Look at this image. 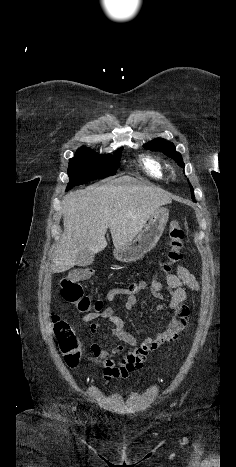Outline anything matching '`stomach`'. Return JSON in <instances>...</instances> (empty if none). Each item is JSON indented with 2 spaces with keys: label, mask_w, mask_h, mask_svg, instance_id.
I'll return each instance as SVG.
<instances>
[{
  "label": "stomach",
  "mask_w": 236,
  "mask_h": 467,
  "mask_svg": "<svg viewBox=\"0 0 236 467\" xmlns=\"http://www.w3.org/2000/svg\"><path fill=\"white\" fill-rule=\"evenodd\" d=\"M169 218V210L164 207L156 209L149 223L131 242L115 247L114 257L121 262H133L151 251L159 241Z\"/></svg>",
  "instance_id": "0dacf381"
}]
</instances>
